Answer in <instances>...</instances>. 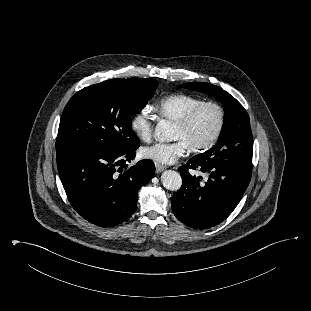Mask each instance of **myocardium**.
Listing matches in <instances>:
<instances>
[{
	"label": "myocardium",
	"mask_w": 311,
	"mask_h": 311,
	"mask_svg": "<svg viewBox=\"0 0 311 311\" xmlns=\"http://www.w3.org/2000/svg\"><path fill=\"white\" fill-rule=\"evenodd\" d=\"M211 107L216 110L218 115L217 126L212 133V135L202 144L190 146L189 148L194 152H203L210 149L221 136L224 126H225V110L224 108L217 102L214 101H204L195 108H193L190 112H188L182 119L175 123V126L186 130L188 129L192 123L195 121L200 112L205 109Z\"/></svg>",
	"instance_id": "f54148a6"
}]
</instances>
